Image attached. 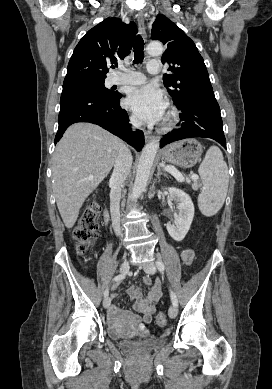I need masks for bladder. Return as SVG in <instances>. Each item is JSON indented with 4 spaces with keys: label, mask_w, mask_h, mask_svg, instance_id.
Listing matches in <instances>:
<instances>
[{
    "label": "bladder",
    "mask_w": 272,
    "mask_h": 389,
    "mask_svg": "<svg viewBox=\"0 0 272 389\" xmlns=\"http://www.w3.org/2000/svg\"><path fill=\"white\" fill-rule=\"evenodd\" d=\"M107 332L108 335L115 340L120 349L130 354L149 353L162 347L165 344V339L163 338H153L136 341L128 339H119L117 333L112 328H108Z\"/></svg>",
    "instance_id": "bladder-1"
}]
</instances>
